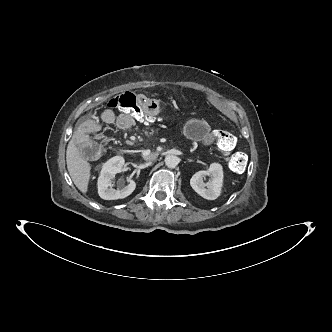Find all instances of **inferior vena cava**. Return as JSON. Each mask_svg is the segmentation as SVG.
Listing matches in <instances>:
<instances>
[{
    "mask_svg": "<svg viewBox=\"0 0 332 332\" xmlns=\"http://www.w3.org/2000/svg\"><path fill=\"white\" fill-rule=\"evenodd\" d=\"M158 157V154L156 152L150 153L149 155H144V159L146 161L155 160Z\"/></svg>",
    "mask_w": 332,
    "mask_h": 332,
    "instance_id": "602c4592",
    "label": "inferior vena cava"
}]
</instances>
